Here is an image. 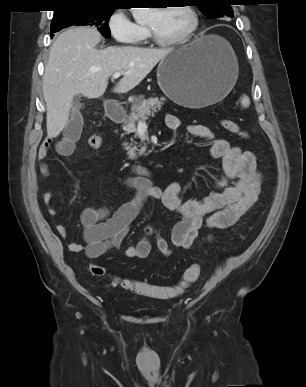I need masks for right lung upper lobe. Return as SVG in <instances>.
Returning <instances> with one entry per match:
<instances>
[{"instance_id":"right-lung-upper-lobe-1","label":"right lung upper lobe","mask_w":306,"mask_h":387,"mask_svg":"<svg viewBox=\"0 0 306 387\" xmlns=\"http://www.w3.org/2000/svg\"><path fill=\"white\" fill-rule=\"evenodd\" d=\"M58 7L54 14L60 13L68 8H111L114 9L116 0H58Z\"/></svg>"}]
</instances>
